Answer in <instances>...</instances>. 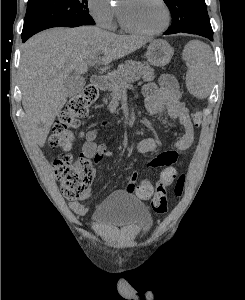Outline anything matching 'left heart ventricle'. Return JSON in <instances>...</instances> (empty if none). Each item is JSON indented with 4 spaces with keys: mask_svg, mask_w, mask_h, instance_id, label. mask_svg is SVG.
Listing matches in <instances>:
<instances>
[{
    "mask_svg": "<svg viewBox=\"0 0 245 300\" xmlns=\"http://www.w3.org/2000/svg\"><path fill=\"white\" fill-rule=\"evenodd\" d=\"M127 20L144 30H155L165 23V11L158 0H123Z\"/></svg>",
    "mask_w": 245,
    "mask_h": 300,
    "instance_id": "1",
    "label": "left heart ventricle"
}]
</instances>
